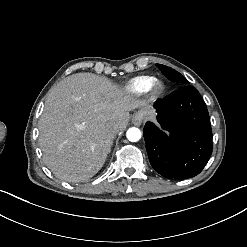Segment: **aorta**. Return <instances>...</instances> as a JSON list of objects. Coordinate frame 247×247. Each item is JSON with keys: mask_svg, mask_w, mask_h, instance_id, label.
Listing matches in <instances>:
<instances>
[{"mask_svg": "<svg viewBox=\"0 0 247 247\" xmlns=\"http://www.w3.org/2000/svg\"><path fill=\"white\" fill-rule=\"evenodd\" d=\"M141 135H142L141 131L136 127L129 128L126 133L128 140L131 142L139 141L141 138Z\"/></svg>", "mask_w": 247, "mask_h": 247, "instance_id": "aorta-1", "label": "aorta"}]
</instances>
